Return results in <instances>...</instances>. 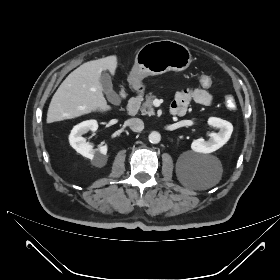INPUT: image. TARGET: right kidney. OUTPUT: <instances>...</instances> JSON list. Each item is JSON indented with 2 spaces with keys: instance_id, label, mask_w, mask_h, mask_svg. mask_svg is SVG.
Instances as JSON below:
<instances>
[{
  "instance_id": "obj_1",
  "label": "right kidney",
  "mask_w": 280,
  "mask_h": 280,
  "mask_svg": "<svg viewBox=\"0 0 280 280\" xmlns=\"http://www.w3.org/2000/svg\"><path fill=\"white\" fill-rule=\"evenodd\" d=\"M98 129V123L96 120H87L73 127L69 135L70 145L81 155L91 160L98 162H105L107 157V145L100 146L97 149H93V146L86 142L82 135L89 130L96 131Z\"/></svg>"
}]
</instances>
